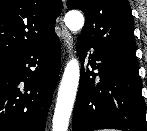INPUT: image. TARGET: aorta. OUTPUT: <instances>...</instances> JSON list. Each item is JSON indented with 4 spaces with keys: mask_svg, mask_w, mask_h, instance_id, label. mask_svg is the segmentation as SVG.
I'll return each instance as SVG.
<instances>
[{
    "mask_svg": "<svg viewBox=\"0 0 147 131\" xmlns=\"http://www.w3.org/2000/svg\"><path fill=\"white\" fill-rule=\"evenodd\" d=\"M64 21L71 32L80 31L84 25V17L78 11H69L65 15ZM79 77V62L76 58H72L65 67L60 83L53 116V131H67L68 129L79 84Z\"/></svg>",
    "mask_w": 147,
    "mask_h": 131,
    "instance_id": "762f6f07",
    "label": "aorta"
}]
</instances>
